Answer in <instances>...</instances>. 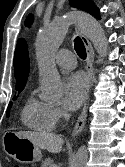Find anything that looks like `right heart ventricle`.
<instances>
[{
	"mask_svg": "<svg viewBox=\"0 0 125 167\" xmlns=\"http://www.w3.org/2000/svg\"><path fill=\"white\" fill-rule=\"evenodd\" d=\"M20 117L23 125L34 131L49 132L56 126L51 106L37 99L33 94L26 98Z\"/></svg>",
	"mask_w": 125,
	"mask_h": 167,
	"instance_id": "right-heart-ventricle-1",
	"label": "right heart ventricle"
}]
</instances>
